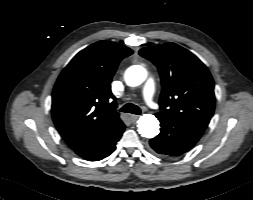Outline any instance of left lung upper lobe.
Masks as SVG:
<instances>
[{
  "label": "left lung upper lobe",
  "instance_id": "5c2ea615",
  "mask_svg": "<svg viewBox=\"0 0 253 200\" xmlns=\"http://www.w3.org/2000/svg\"><path fill=\"white\" fill-rule=\"evenodd\" d=\"M139 54L159 70L160 112L206 128L214 113V82L206 66L175 43L142 48Z\"/></svg>",
  "mask_w": 253,
  "mask_h": 200
}]
</instances>
